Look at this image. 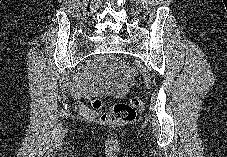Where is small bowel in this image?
I'll return each instance as SVG.
<instances>
[{"instance_id":"obj_1","label":"small bowel","mask_w":227,"mask_h":157,"mask_svg":"<svg viewBox=\"0 0 227 157\" xmlns=\"http://www.w3.org/2000/svg\"><path fill=\"white\" fill-rule=\"evenodd\" d=\"M111 60H108V64ZM131 81L123 69L109 68L105 72H97L95 62H92L84 73L83 84L78 87L81 96H88L89 93L121 95L125 92Z\"/></svg>"}]
</instances>
